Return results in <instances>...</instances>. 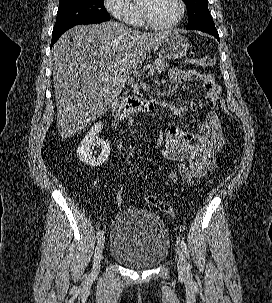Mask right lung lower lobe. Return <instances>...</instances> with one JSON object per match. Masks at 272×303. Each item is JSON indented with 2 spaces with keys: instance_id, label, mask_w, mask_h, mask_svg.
<instances>
[{
  "instance_id": "98d812e1",
  "label": "right lung lower lobe",
  "mask_w": 272,
  "mask_h": 303,
  "mask_svg": "<svg viewBox=\"0 0 272 303\" xmlns=\"http://www.w3.org/2000/svg\"><path fill=\"white\" fill-rule=\"evenodd\" d=\"M96 23H101V22H81V23H76L72 24L69 26H66L64 28L58 29V30H53L52 32V42H51V47L54 45V43L59 39V37L68 29H70L73 26L79 25V24H96Z\"/></svg>"
}]
</instances>
